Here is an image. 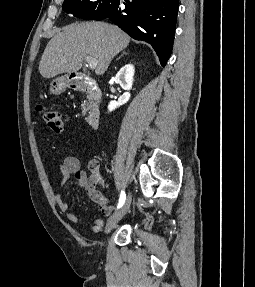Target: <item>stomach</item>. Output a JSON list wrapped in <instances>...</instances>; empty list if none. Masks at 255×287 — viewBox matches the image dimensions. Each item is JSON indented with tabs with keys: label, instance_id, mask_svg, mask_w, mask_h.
<instances>
[{
	"label": "stomach",
	"instance_id": "1",
	"mask_svg": "<svg viewBox=\"0 0 255 287\" xmlns=\"http://www.w3.org/2000/svg\"><path fill=\"white\" fill-rule=\"evenodd\" d=\"M69 86V76H62V78H56L50 84L49 92L50 94H55V96H59V94H63L66 88Z\"/></svg>",
	"mask_w": 255,
	"mask_h": 287
}]
</instances>
